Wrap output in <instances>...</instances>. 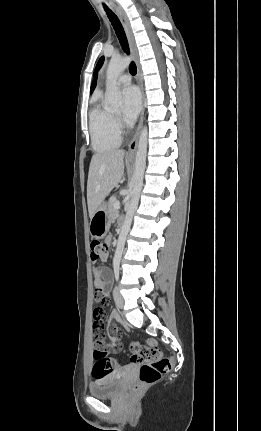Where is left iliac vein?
I'll use <instances>...</instances> for the list:
<instances>
[{
  "mask_svg": "<svg viewBox=\"0 0 261 431\" xmlns=\"http://www.w3.org/2000/svg\"><path fill=\"white\" fill-rule=\"evenodd\" d=\"M113 298L117 308L122 309L124 306V299L121 293L119 292L118 286H116L113 290Z\"/></svg>",
  "mask_w": 261,
  "mask_h": 431,
  "instance_id": "4c4485c4",
  "label": "left iliac vein"
}]
</instances>
